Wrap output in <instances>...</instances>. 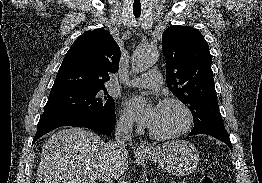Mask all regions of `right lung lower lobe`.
Here are the masks:
<instances>
[{"label":"right lung lower lobe","mask_w":262,"mask_h":183,"mask_svg":"<svg viewBox=\"0 0 262 183\" xmlns=\"http://www.w3.org/2000/svg\"><path fill=\"white\" fill-rule=\"evenodd\" d=\"M115 125V111L106 112L103 115L74 112L43 113L33 142H35L42 135L60 126L86 127L101 134H108L112 132Z\"/></svg>","instance_id":"1"}]
</instances>
